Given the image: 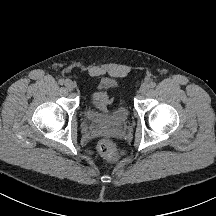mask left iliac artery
Instances as JSON below:
<instances>
[{
  "mask_svg": "<svg viewBox=\"0 0 216 216\" xmlns=\"http://www.w3.org/2000/svg\"><path fill=\"white\" fill-rule=\"evenodd\" d=\"M155 86H156V83H155V82H151V83H150V87H151V88H154Z\"/></svg>",
  "mask_w": 216,
  "mask_h": 216,
  "instance_id": "left-iliac-artery-1",
  "label": "left iliac artery"
}]
</instances>
